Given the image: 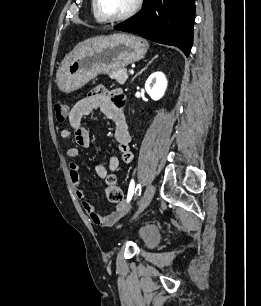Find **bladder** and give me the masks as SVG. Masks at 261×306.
<instances>
[{
  "label": "bladder",
  "instance_id": "bladder-1",
  "mask_svg": "<svg viewBox=\"0 0 261 306\" xmlns=\"http://www.w3.org/2000/svg\"><path fill=\"white\" fill-rule=\"evenodd\" d=\"M139 239L145 248L155 246L160 238L159 231L155 226L145 225L139 230Z\"/></svg>",
  "mask_w": 261,
  "mask_h": 306
}]
</instances>
